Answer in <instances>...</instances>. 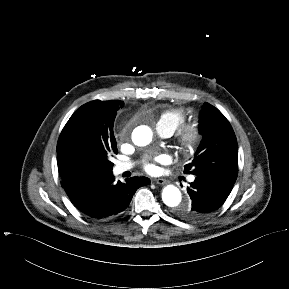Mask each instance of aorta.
Listing matches in <instances>:
<instances>
[{"instance_id":"aorta-1","label":"aorta","mask_w":289,"mask_h":289,"mask_svg":"<svg viewBox=\"0 0 289 289\" xmlns=\"http://www.w3.org/2000/svg\"><path fill=\"white\" fill-rule=\"evenodd\" d=\"M152 130L148 126H139L132 135V140L137 146H146L152 141ZM162 200L168 207L179 212H187L190 208L188 201L182 203V194L174 185H167L162 191Z\"/></svg>"}]
</instances>
